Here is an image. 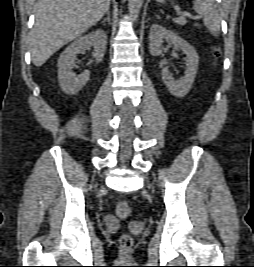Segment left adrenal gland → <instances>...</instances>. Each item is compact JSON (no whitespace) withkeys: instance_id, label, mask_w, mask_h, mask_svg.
<instances>
[{"instance_id":"left-adrenal-gland-1","label":"left adrenal gland","mask_w":254,"mask_h":267,"mask_svg":"<svg viewBox=\"0 0 254 267\" xmlns=\"http://www.w3.org/2000/svg\"><path fill=\"white\" fill-rule=\"evenodd\" d=\"M158 19L160 18L158 15L156 16Z\"/></svg>"}]
</instances>
